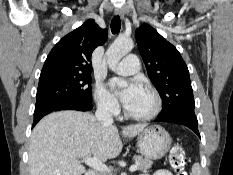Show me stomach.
I'll use <instances>...</instances> for the list:
<instances>
[{
    "instance_id": "stomach-1",
    "label": "stomach",
    "mask_w": 233,
    "mask_h": 175,
    "mask_svg": "<svg viewBox=\"0 0 233 175\" xmlns=\"http://www.w3.org/2000/svg\"><path fill=\"white\" fill-rule=\"evenodd\" d=\"M137 146L145 158L159 160L169 151L171 137L163 127L151 125L140 132Z\"/></svg>"
}]
</instances>
